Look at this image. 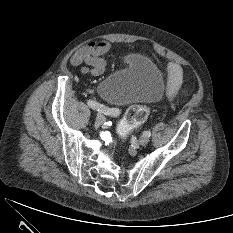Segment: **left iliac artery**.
<instances>
[{"mask_svg":"<svg viewBox=\"0 0 233 233\" xmlns=\"http://www.w3.org/2000/svg\"><path fill=\"white\" fill-rule=\"evenodd\" d=\"M144 135L150 137L151 136V132L150 131H144Z\"/></svg>","mask_w":233,"mask_h":233,"instance_id":"44dca946","label":"left iliac artery"}]
</instances>
